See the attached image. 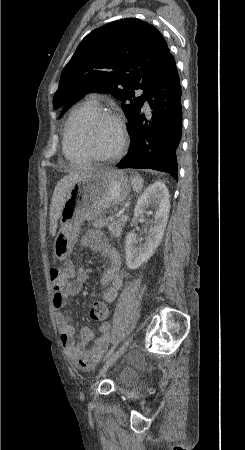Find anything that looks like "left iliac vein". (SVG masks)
<instances>
[{
	"mask_svg": "<svg viewBox=\"0 0 245 450\" xmlns=\"http://www.w3.org/2000/svg\"><path fill=\"white\" fill-rule=\"evenodd\" d=\"M131 343V338L127 339L120 348L112 354V356L108 359L105 365L101 368L99 374L96 377V382L98 379L103 376L106 371L124 354Z\"/></svg>",
	"mask_w": 245,
	"mask_h": 450,
	"instance_id": "1",
	"label": "left iliac vein"
}]
</instances>
